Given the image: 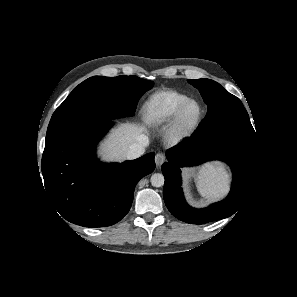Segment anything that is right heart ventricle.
<instances>
[{"label":"right heart ventricle","instance_id":"e07e8e85","mask_svg":"<svg viewBox=\"0 0 297 297\" xmlns=\"http://www.w3.org/2000/svg\"><path fill=\"white\" fill-rule=\"evenodd\" d=\"M190 98L178 91L164 90L152 95L144 106L145 119L153 124L172 120L178 108Z\"/></svg>","mask_w":297,"mask_h":297}]
</instances>
